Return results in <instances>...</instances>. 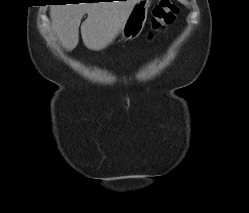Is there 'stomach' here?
I'll return each mask as SVG.
<instances>
[{"label": "stomach", "mask_w": 249, "mask_h": 213, "mask_svg": "<svg viewBox=\"0 0 249 213\" xmlns=\"http://www.w3.org/2000/svg\"><path fill=\"white\" fill-rule=\"evenodd\" d=\"M150 8V0H138L131 8V11L120 29L123 40L137 38L142 32Z\"/></svg>", "instance_id": "obj_1"}]
</instances>
